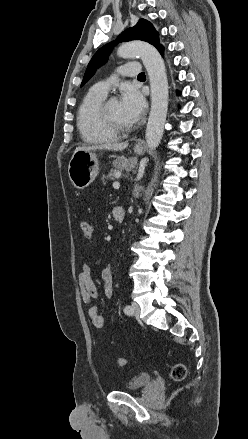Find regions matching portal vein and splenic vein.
I'll return each mask as SVG.
<instances>
[{"mask_svg":"<svg viewBox=\"0 0 248 439\" xmlns=\"http://www.w3.org/2000/svg\"><path fill=\"white\" fill-rule=\"evenodd\" d=\"M113 188L114 189H119L120 188V183L119 182H114L113 183Z\"/></svg>","mask_w":248,"mask_h":439,"instance_id":"18ae733b","label":"portal vein and splenic vein"}]
</instances>
